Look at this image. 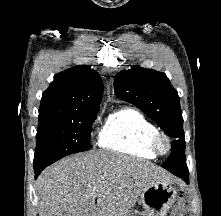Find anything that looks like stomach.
I'll list each match as a JSON object with an SVG mask.
<instances>
[{
    "mask_svg": "<svg viewBox=\"0 0 221 216\" xmlns=\"http://www.w3.org/2000/svg\"><path fill=\"white\" fill-rule=\"evenodd\" d=\"M143 211H132L127 216H166L174 204L177 191L167 180L149 183L140 193Z\"/></svg>",
    "mask_w": 221,
    "mask_h": 216,
    "instance_id": "obj_1",
    "label": "stomach"
}]
</instances>
